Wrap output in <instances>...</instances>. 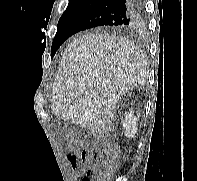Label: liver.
Masks as SVG:
<instances>
[{
	"label": "liver",
	"mask_w": 197,
	"mask_h": 181,
	"mask_svg": "<svg viewBox=\"0 0 197 181\" xmlns=\"http://www.w3.org/2000/svg\"><path fill=\"white\" fill-rule=\"evenodd\" d=\"M149 77L146 55L125 38L86 33L66 47L53 84L52 111L102 135L112 131L116 103Z\"/></svg>",
	"instance_id": "1"
}]
</instances>
